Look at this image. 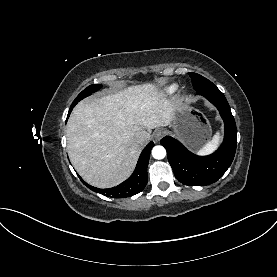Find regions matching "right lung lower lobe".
Instances as JSON below:
<instances>
[{
  "label": "right lung lower lobe",
  "instance_id": "right-lung-lower-lobe-1",
  "mask_svg": "<svg viewBox=\"0 0 277 277\" xmlns=\"http://www.w3.org/2000/svg\"><path fill=\"white\" fill-rule=\"evenodd\" d=\"M153 146L154 143L150 142L144 148L139 157L138 163L133 174L126 181H124L116 187L108 189H99L88 185L81 178L80 179L83 182V184H85L89 189L107 197L124 198L138 194L145 188L148 182L147 167L150 158V152Z\"/></svg>",
  "mask_w": 277,
  "mask_h": 277
}]
</instances>
